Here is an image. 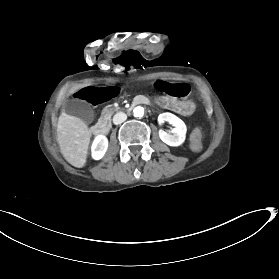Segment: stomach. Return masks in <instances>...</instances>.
<instances>
[{
	"mask_svg": "<svg viewBox=\"0 0 279 279\" xmlns=\"http://www.w3.org/2000/svg\"><path fill=\"white\" fill-rule=\"evenodd\" d=\"M156 103L162 105L165 109H172L175 112L180 111L183 115L188 117L195 115L198 109L196 103L193 101L188 100L182 102L172 97H165L164 99L158 98Z\"/></svg>",
	"mask_w": 279,
	"mask_h": 279,
	"instance_id": "obj_1",
	"label": "stomach"
}]
</instances>
